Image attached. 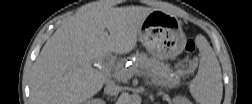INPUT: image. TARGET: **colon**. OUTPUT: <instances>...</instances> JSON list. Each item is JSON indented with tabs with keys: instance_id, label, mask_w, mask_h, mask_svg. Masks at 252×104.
Listing matches in <instances>:
<instances>
[{
	"instance_id": "5ec220e1",
	"label": "colon",
	"mask_w": 252,
	"mask_h": 104,
	"mask_svg": "<svg viewBox=\"0 0 252 104\" xmlns=\"http://www.w3.org/2000/svg\"><path fill=\"white\" fill-rule=\"evenodd\" d=\"M195 49H196L195 40L193 39V37H189L184 46L186 62L190 64L193 62V53L195 52Z\"/></svg>"
}]
</instances>
